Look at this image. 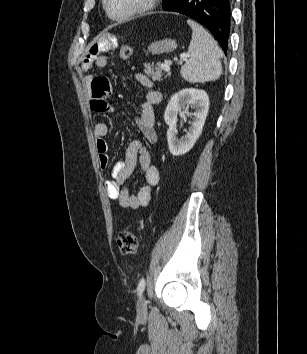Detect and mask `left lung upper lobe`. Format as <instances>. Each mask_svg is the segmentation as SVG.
<instances>
[{"label":"left lung upper lobe","mask_w":307,"mask_h":354,"mask_svg":"<svg viewBox=\"0 0 307 354\" xmlns=\"http://www.w3.org/2000/svg\"><path fill=\"white\" fill-rule=\"evenodd\" d=\"M171 0H163V8L170 2Z\"/></svg>","instance_id":"left-lung-upper-lobe-1"}]
</instances>
